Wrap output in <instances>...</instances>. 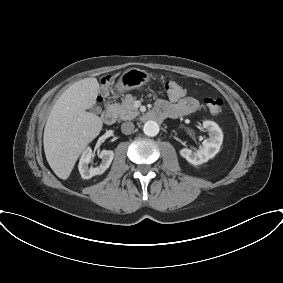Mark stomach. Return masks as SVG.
Masks as SVG:
<instances>
[{
    "label": "stomach",
    "instance_id": "obj_1",
    "mask_svg": "<svg viewBox=\"0 0 283 283\" xmlns=\"http://www.w3.org/2000/svg\"><path fill=\"white\" fill-rule=\"evenodd\" d=\"M149 79L150 74L145 70L132 68L122 74L116 88L119 93H123L143 86Z\"/></svg>",
    "mask_w": 283,
    "mask_h": 283
}]
</instances>
